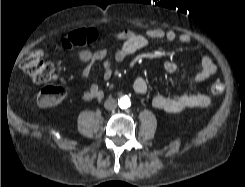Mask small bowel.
I'll return each instance as SVG.
<instances>
[{"label":"small bowel","mask_w":245,"mask_h":187,"mask_svg":"<svg viewBox=\"0 0 245 187\" xmlns=\"http://www.w3.org/2000/svg\"><path fill=\"white\" fill-rule=\"evenodd\" d=\"M89 43L99 39L98 30L91 28L84 30ZM114 37L122 42L121 47L115 52L113 59L108 58V50L102 47L96 51L83 50L77 54V58L85 64L84 69L78 75V81H84L91 73L93 66L102 62L104 70V78L110 79L112 76L113 62L120 63L131 55L144 49L152 40H164L170 43L186 44L190 42V37L186 34H179L173 30H164L161 28H152L144 34H140L131 30H123L114 34ZM163 69L169 74L177 71V65L173 61H166ZM217 71V67L211 57L204 55L200 61V71L195 73L191 78V83L196 84L202 82ZM133 89L137 94L144 95L147 93V82L142 77H137L133 82ZM101 96L100 86L92 84L87 90L81 94V99L90 101ZM210 98L205 94L186 93V94H170V95H154L151 99L152 106L158 110L168 113L181 112L188 108H200L210 104Z\"/></svg>","instance_id":"small-bowel-1"}]
</instances>
